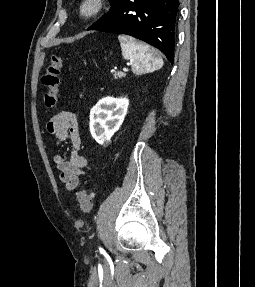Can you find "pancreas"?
Wrapping results in <instances>:
<instances>
[{
    "label": "pancreas",
    "mask_w": 255,
    "mask_h": 287,
    "mask_svg": "<svg viewBox=\"0 0 255 287\" xmlns=\"http://www.w3.org/2000/svg\"><path fill=\"white\" fill-rule=\"evenodd\" d=\"M115 80H118V78H125L124 72H115L114 74Z\"/></svg>",
    "instance_id": "obj_1"
}]
</instances>
